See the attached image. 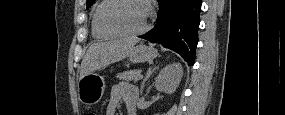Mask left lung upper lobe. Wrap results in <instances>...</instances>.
Wrapping results in <instances>:
<instances>
[{"label":"left lung upper lobe","mask_w":285,"mask_h":115,"mask_svg":"<svg viewBox=\"0 0 285 115\" xmlns=\"http://www.w3.org/2000/svg\"><path fill=\"white\" fill-rule=\"evenodd\" d=\"M94 2L95 0H87V3H86L87 9H89L93 5Z\"/></svg>","instance_id":"1"}]
</instances>
